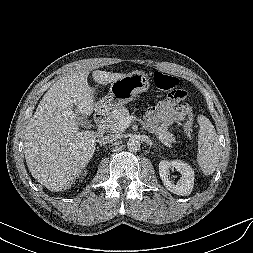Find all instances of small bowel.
<instances>
[{
    "label": "small bowel",
    "instance_id": "1",
    "mask_svg": "<svg viewBox=\"0 0 253 253\" xmlns=\"http://www.w3.org/2000/svg\"><path fill=\"white\" fill-rule=\"evenodd\" d=\"M180 100L168 96L149 109L148 119L158 123L162 128L184 122L190 109L188 106L178 105Z\"/></svg>",
    "mask_w": 253,
    "mask_h": 253
}]
</instances>
